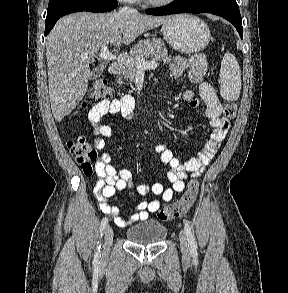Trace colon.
<instances>
[{"mask_svg":"<svg viewBox=\"0 0 288 293\" xmlns=\"http://www.w3.org/2000/svg\"><path fill=\"white\" fill-rule=\"evenodd\" d=\"M113 90L108 86L107 82L99 79L94 84L91 100L101 101L112 97ZM224 117L233 119L236 116V107L231 103H225ZM67 147L72 155L75 156L85 175L91 176L93 173L92 162L97 158V151L93 148L84 137H78L67 142ZM199 190V183L192 179L187 186L186 191L176 202L166 205L158 212V217L162 221H169L186 214L194 204Z\"/></svg>","mask_w":288,"mask_h":293,"instance_id":"5ec220e1","label":"colon"}]
</instances>
